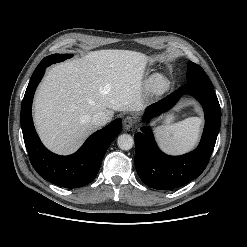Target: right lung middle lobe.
<instances>
[{"label": "right lung middle lobe", "instance_id": "right-lung-middle-lobe-1", "mask_svg": "<svg viewBox=\"0 0 247 247\" xmlns=\"http://www.w3.org/2000/svg\"><path fill=\"white\" fill-rule=\"evenodd\" d=\"M72 57L70 54H53L45 57L41 62H47L50 65L58 62H62L68 58Z\"/></svg>", "mask_w": 247, "mask_h": 247}]
</instances>
